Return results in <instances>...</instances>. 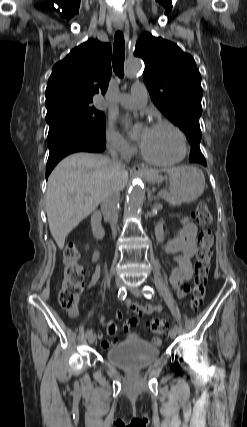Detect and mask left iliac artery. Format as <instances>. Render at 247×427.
<instances>
[{
    "mask_svg": "<svg viewBox=\"0 0 247 427\" xmlns=\"http://www.w3.org/2000/svg\"><path fill=\"white\" fill-rule=\"evenodd\" d=\"M143 292H144V296L146 297V298H151L152 297V295L154 294V290H153V288L152 287H150V286H145L144 288H143ZM174 328L175 329H177V330H179V326L178 325H174Z\"/></svg>",
    "mask_w": 247,
    "mask_h": 427,
    "instance_id": "44dca946",
    "label": "left iliac artery"
}]
</instances>
